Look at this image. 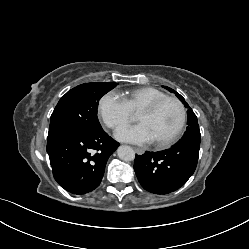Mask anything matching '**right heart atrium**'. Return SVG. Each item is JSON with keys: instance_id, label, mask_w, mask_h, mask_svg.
Segmentation results:
<instances>
[{"instance_id": "1", "label": "right heart atrium", "mask_w": 249, "mask_h": 249, "mask_svg": "<svg viewBox=\"0 0 249 249\" xmlns=\"http://www.w3.org/2000/svg\"><path fill=\"white\" fill-rule=\"evenodd\" d=\"M97 113L104 125L112 130L126 126L132 117L124 101L113 92H108L100 98Z\"/></svg>"}]
</instances>
